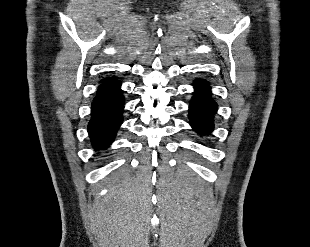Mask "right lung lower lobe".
<instances>
[{
	"mask_svg": "<svg viewBox=\"0 0 310 247\" xmlns=\"http://www.w3.org/2000/svg\"><path fill=\"white\" fill-rule=\"evenodd\" d=\"M120 84L118 80L102 83L92 103L88 132L96 148L109 146L122 123L124 97Z\"/></svg>",
	"mask_w": 310,
	"mask_h": 247,
	"instance_id": "right-lung-lower-lobe-1",
	"label": "right lung lower lobe"
}]
</instances>
